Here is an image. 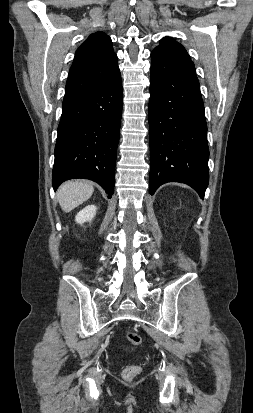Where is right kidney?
<instances>
[{
  "label": "right kidney",
  "instance_id": "obj_1",
  "mask_svg": "<svg viewBox=\"0 0 253 413\" xmlns=\"http://www.w3.org/2000/svg\"><path fill=\"white\" fill-rule=\"evenodd\" d=\"M97 207L95 205H88L77 213L75 220L79 224L90 222L96 215Z\"/></svg>",
  "mask_w": 253,
  "mask_h": 413
}]
</instances>
